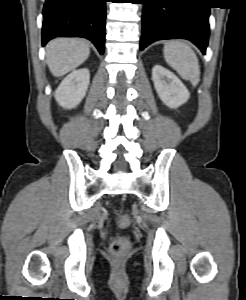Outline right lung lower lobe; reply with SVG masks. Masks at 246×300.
<instances>
[{"instance_id":"98d812e1","label":"right lung lower lobe","mask_w":246,"mask_h":300,"mask_svg":"<svg viewBox=\"0 0 246 300\" xmlns=\"http://www.w3.org/2000/svg\"><path fill=\"white\" fill-rule=\"evenodd\" d=\"M106 0H46L43 46L55 37H84L104 52Z\"/></svg>"}]
</instances>
